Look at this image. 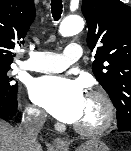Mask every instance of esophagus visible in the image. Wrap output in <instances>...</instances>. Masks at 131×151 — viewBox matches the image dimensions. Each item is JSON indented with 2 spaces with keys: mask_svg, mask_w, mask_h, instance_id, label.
Wrapping results in <instances>:
<instances>
[{
  "mask_svg": "<svg viewBox=\"0 0 131 151\" xmlns=\"http://www.w3.org/2000/svg\"><path fill=\"white\" fill-rule=\"evenodd\" d=\"M53 144L60 149H67L69 146L68 141L62 138H54Z\"/></svg>",
  "mask_w": 131,
  "mask_h": 151,
  "instance_id": "1",
  "label": "esophagus"
}]
</instances>
